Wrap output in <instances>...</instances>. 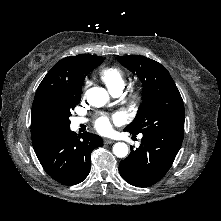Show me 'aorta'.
<instances>
[{"mask_svg":"<svg viewBox=\"0 0 221 221\" xmlns=\"http://www.w3.org/2000/svg\"><path fill=\"white\" fill-rule=\"evenodd\" d=\"M87 101L94 106H103L109 99V95L104 88L92 87L86 92ZM128 146L124 142H117L113 145V153L118 158H124L128 155Z\"/></svg>","mask_w":221,"mask_h":221,"instance_id":"762f6f07","label":"aorta"}]
</instances>
